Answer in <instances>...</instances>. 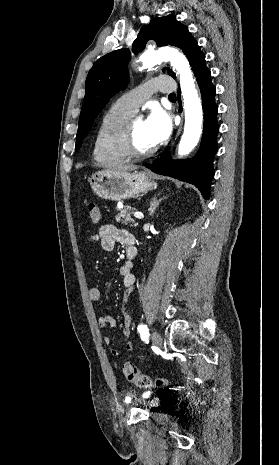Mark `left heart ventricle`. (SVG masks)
<instances>
[{"label":"left heart ventricle","instance_id":"1","mask_svg":"<svg viewBox=\"0 0 279 465\" xmlns=\"http://www.w3.org/2000/svg\"><path fill=\"white\" fill-rule=\"evenodd\" d=\"M133 149L137 151H145L154 146L147 132L145 121L137 119L132 127V139Z\"/></svg>","mask_w":279,"mask_h":465}]
</instances>
